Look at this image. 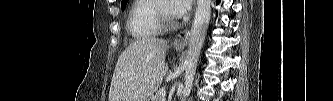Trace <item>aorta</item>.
<instances>
[{
    "instance_id": "aorta-1",
    "label": "aorta",
    "mask_w": 333,
    "mask_h": 101,
    "mask_svg": "<svg viewBox=\"0 0 333 101\" xmlns=\"http://www.w3.org/2000/svg\"><path fill=\"white\" fill-rule=\"evenodd\" d=\"M211 16V0H198L185 59V83L182 101L189 96Z\"/></svg>"
}]
</instances>
